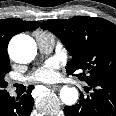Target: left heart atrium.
<instances>
[{"mask_svg":"<svg viewBox=\"0 0 116 116\" xmlns=\"http://www.w3.org/2000/svg\"><path fill=\"white\" fill-rule=\"evenodd\" d=\"M58 62L55 59L48 60L42 66L36 68L30 76L32 81L49 83L57 79Z\"/></svg>","mask_w":116,"mask_h":116,"instance_id":"obj_1","label":"left heart atrium"}]
</instances>
